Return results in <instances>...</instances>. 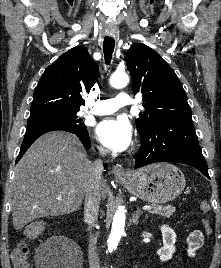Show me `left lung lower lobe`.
<instances>
[{"instance_id": "1", "label": "left lung lower lobe", "mask_w": 221, "mask_h": 268, "mask_svg": "<svg viewBox=\"0 0 221 268\" xmlns=\"http://www.w3.org/2000/svg\"><path fill=\"white\" fill-rule=\"evenodd\" d=\"M140 137L135 168L155 162H178L195 167L210 179L192 120L162 119Z\"/></svg>"}]
</instances>
